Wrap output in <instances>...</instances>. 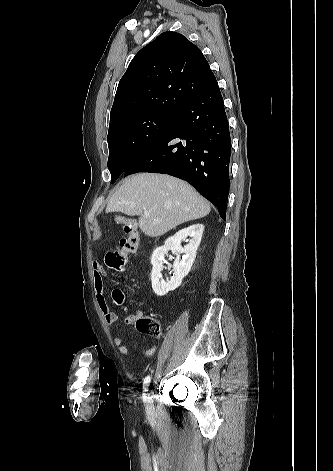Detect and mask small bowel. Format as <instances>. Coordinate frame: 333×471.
Returning a JSON list of instances; mask_svg holds the SVG:
<instances>
[{"instance_id":"obj_1","label":"small bowel","mask_w":333,"mask_h":471,"mask_svg":"<svg viewBox=\"0 0 333 471\" xmlns=\"http://www.w3.org/2000/svg\"><path fill=\"white\" fill-rule=\"evenodd\" d=\"M107 273L104 269V267L97 261L93 263V280H94V288H95V296H96V301L98 303V306L100 310L102 311L106 323L111 326L115 325L119 321V317L117 314L112 312L107 304L106 297L104 294V282H103V277L106 276ZM142 314L140 312H137L135 314H131L125 318V324L126 325H132L134 322H136L137 318L141 316ZM114 344L119 350L121 354L128 355L130 353V349L128 346L125 345L124 340L122 337L118 336L114 339ZM156 348L151 347L145 352V356H151L154 354Z\"/></svg>"}]
</instances>
